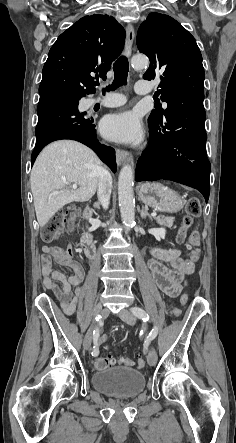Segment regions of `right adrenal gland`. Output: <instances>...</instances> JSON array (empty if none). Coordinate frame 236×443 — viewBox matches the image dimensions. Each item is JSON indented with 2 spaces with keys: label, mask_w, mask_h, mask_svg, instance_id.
Instances as JSON below:
<instances>
[{
  "label": "right adrenal gland",
  "mask_w": 236,
  "mask_h": 443,
  "mask_svg": "<svg viewBox=\"0 0 236 443\" xmlns=\"http://www.w3.org/2000/svg\"><path fill=\"white\" fill-rule=\"evenodd\" d=\"M94 207L96 208V209H98V210H100V203L99 202H95L94 203Z\"/></svg>",
  "instance_id": "1"
}]
</instances>
